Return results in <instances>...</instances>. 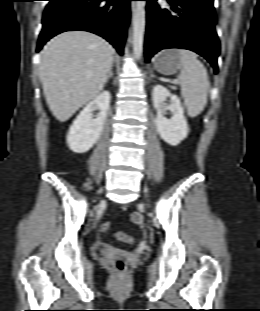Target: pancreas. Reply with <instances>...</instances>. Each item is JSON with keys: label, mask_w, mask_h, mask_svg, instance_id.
<instances>
[{"label": "pancreas", "mask_w": 260, "mask_h": 311, "mask_svg": "<svg viewBox=\"0 0 260 311\" xmlns=\"http://www.w3.org/2000/svg\"><path fill=\"white\" fill-rule=\"evenodd\" d=\"M171 88H172V89H176V88H175V87H173V86H172Z\"/></svg>", "instance_id": "obj_1"}]
</instances>
